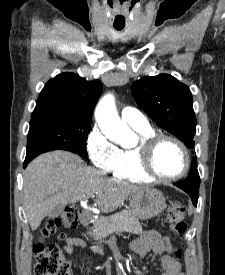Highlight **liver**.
<instances>
[{
  "label": "liver",
  "instance_id": "1",
  "mask_svg": "<svg viewBox=\"0 0 225 275\" xmlns=\"http://www.w3.org/2000/svg\"><path fill=\"white\" fill-rule=\"evenodd\" d=\"M146 187L104 177L71 152L57 150L35 158L26 168L23 201L31 229L57 205L66 206L95 195L99 210L115 211L133 193Z\"/></svg>",
  "mask_w": 225,
  "mask_h": 275
}]
</instances>
